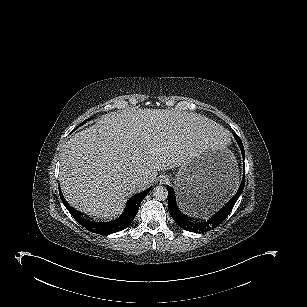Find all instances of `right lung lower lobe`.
<instances>
[{
	"mask_svg": "<svg viewBox=\"0 0 307 307\" xmlns=\"http://www.w3.org/2000/svg\"><path fill=\"white\" fill-rule=\"evenodd\" d=\"M151 188V187H150ZM150 188L144 190L143 192H140L134 196H132L125 207V210L120 218L109 221V222H93L85 218V216H82V213L79 211L73 209L68 205V203L65 201L61 190H59V194L61 197V200L65 207L68 209L70 214L73 216V218L81 224L83 227H85L87 230L101 235H108L112 233L119 232L126 227H128L133 219L135 218L140 203L145 198V196L148 194Z\"/></svg>",
	"mask_w": 307,
	"mask_h": 307,
	"instance_id": "98d812e1",
	"label": "right lung lower lobe"
}]
</instances>
